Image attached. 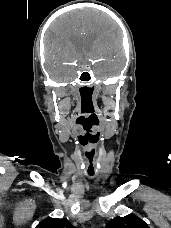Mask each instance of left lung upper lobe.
I'll return each instance as SVG.
<instances>
[{
  "mask_svg": "<svg viewBox=\"0 0 171 228\" xmlns=\"http://www.w3.org/2000/svg\"><path fill=\"white\" fill-rule=\"evenodd\" d=\"M106 228H149V226L139 217L127 215L110 220Z\"/></svg>",
  "mask_w": 171,
  "mask_h": 228,
  "instance_id": "obj_1",
  "label": "left lung upper lobe"
}]
</instances>
